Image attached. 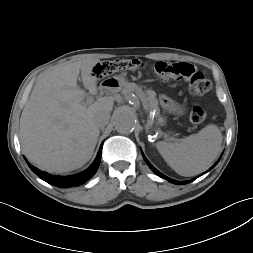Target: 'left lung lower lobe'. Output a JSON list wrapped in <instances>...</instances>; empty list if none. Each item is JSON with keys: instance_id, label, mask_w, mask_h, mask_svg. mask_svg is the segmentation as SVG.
Instances as JSON below:
<instances>
[{"instance_id": "left-lung-lower-lobe-1", "label": "left lung lower lobe", "mask_w": 253, "mask_h": 253, "mask_svg": "<svg viewBox=\"0 0 253 253\" xmlns=\"http://www.w3.org/2000/svg\"><path fill=\"white\" fill-rule=\"evenodd\" d=\"M145 161L147 162V164L149 165V167L158 175L160 176L161 178L163 179H167L169 182L171 183H174V184H178V185H184V184H187L189 183L190 181H177V180H174V179H171L165 175H163L162 173H160L155 167H153L150 162L146 159V157L143 155ZM219 162V160L215 163V165ZM215 165H213L209 170H211ZM208 170V171H209Z\"/></svg>"}]
</instances>
